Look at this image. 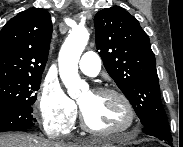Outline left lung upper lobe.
Wrapping results in <instances>:
<instances>
[{
    "mask_svg": "<svg viewBox=\"0 0 183 147\" xmlns=\"http://www.w3.org/2000/svg\"><path fill=\"white\" fill-rule=\"evenodd\" d=\"M94 24L96 47L104 66L143 126H169L161 102L155 56L139 22L125 9L113 6L100 10Z\"/></svg>",
    "mask_w": 183,
    "mask_h": 147,
    "instance_id": "5c2ea615",
    "label": "left lung upper lobe"
}]
</instances>
